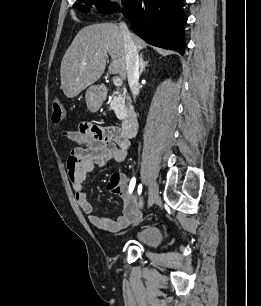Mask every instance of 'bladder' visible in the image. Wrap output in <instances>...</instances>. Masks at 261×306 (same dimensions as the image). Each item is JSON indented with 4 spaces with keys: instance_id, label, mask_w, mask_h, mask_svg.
Returning <instances> with one entry per match:
<instances>
[{
    "instance_id": "bladder-1",
    "label": "bladder",
    "mask_w": 261,
    "mask_h": 306,
    "mask_svg": "<svg viewBox=\"0 0 261 306\" xmlns=\"http://www.w3.org/2000/svg\"><path fill=\"white\" fill-rule=\"evenodd\" d=\"M161 239L162 235L160 229L153 225L144 227L136 236L138 244L150 249L157 247L160 244Z\"/></svg>"
}]
</instances>
